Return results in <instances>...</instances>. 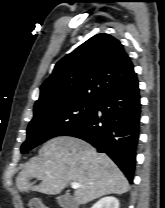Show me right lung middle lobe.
Wrapping results in <instances>:
<instances>
[{"instance_id": "dd1d6c3e", "label": "right lung middle lobe", "mask_w": 165, "mask_h": 208, "mask_svg": "<svg viewBox=\"0 0 165 208\" xmlns=\"http://www.w3.org/2000/svg\"><path fill=\"white\" fill-rule=\"evenodd\" d=\"M96 104L97 101H67L34 110L21 152L25 153L50 138L67 135L77 129L88 119Z\"/></svg>"}]
</instances>
